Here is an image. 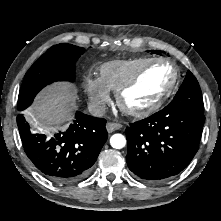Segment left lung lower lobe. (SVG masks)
Returning <instances> with one entry per match:
<instances>
[{
    "label": "left lung lower lobe",
    "instance_id": "0a47b994",
    "mask_svg": "<svg viewBox=\"0 0 221 221\" xmlns=\"http://www.w3.org/2000/svg\"><path fill=\"white\" fill-rule=\"evenodd\" d=\"M204 114L176 109L161 111L126 128L129 169L150 183L165 182L183 171L196 154Z\"/></svg>",
    "mask_w": 221,
    "mask_h": 221
}]
</instances>
